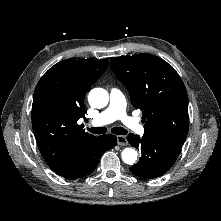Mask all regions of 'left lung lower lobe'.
Returning a JSON list of instances; mask_svg holds the SVG:
<instances>
[{
	"label": "left lung lower lobe",
	"mask_w": 221,
	"mask_h": 221,
	"mask_svg": "<svg viewBox=\"0 0 221 221\" xmlns=\"http://www.w3.org/2000/svg\"><path fill=\"white\" fill-rule=\"evenodd\" d=\"M127 140L131 146L141 150L139 162L130 170L136 176L152 179L165 174L174 164L183 143L144 134L142 137L130 133Z\"/></svg>",
	"instance_id": "0a47b994"
}]
</instances>
